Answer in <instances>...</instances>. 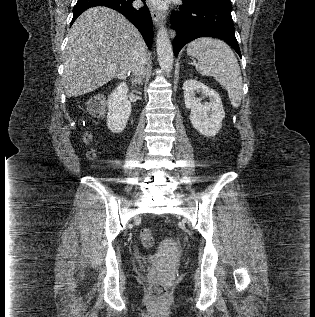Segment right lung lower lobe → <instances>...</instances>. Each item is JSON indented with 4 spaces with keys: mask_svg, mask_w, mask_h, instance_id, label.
I'll return each instance as SVG.
<instances>
[{
    "mask_svg": "<svg viewBox=\"0 0 315 317\" xmlns=\"http://www.w3.org/2000/svg\"><path fill=\"white\" fill-rule=\"evenodd\" d=\"M134 0H78L73 8L72 23L77 17L87 10L95 6H106L123 14L142 34L149 49L153 42V23L147 6L134 8L132 6Z\"/></svg>",
    "mask_w": 315,
    "mask_h": 317,
    "instance_id": "1",
    "label": "right lung lower lobe"
}]
</instances>
